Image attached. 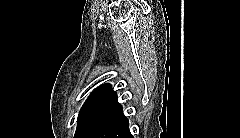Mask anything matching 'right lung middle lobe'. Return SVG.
<instances>
[{"label":"right lung middle lobe","instance_id":"obj_1","mask_svg":"<svg viewBox=\"0 0 240 138\" xmlns=\"http://www.w3.org/2000/svg\"><path fill=\"white\" fill-rule=\"evenodd\" d=\"M108 117L109 116L103 114L79 115L74 138H87L89 133Z\"/></svg>","mask_w":240,"mask_h":138}]
</instances>
